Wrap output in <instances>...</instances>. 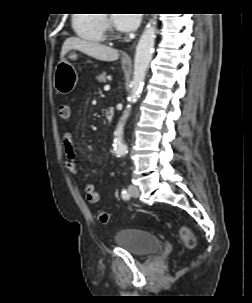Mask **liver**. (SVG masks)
<instances>
[{
  "label": "liver",
  "mask_w": 252,
  "mask_h": 303,
  "mask_svg": "<svg viewBox=\"0 0 252 303\" xmlns=\"http://www.w3.org/2000/svg\"><path fill=\"white\" fill-rule=\"evenodd\" d=\"M70 50L81 51L101 61H116L119 57V53L116 49L78 37H69L64 41L60 54L61 59H63L65 54Z\"/></svg>",
  "instance_id": "obj_1"
}]
</instances>
